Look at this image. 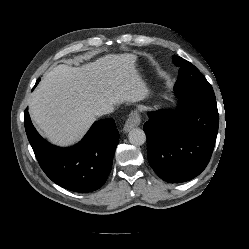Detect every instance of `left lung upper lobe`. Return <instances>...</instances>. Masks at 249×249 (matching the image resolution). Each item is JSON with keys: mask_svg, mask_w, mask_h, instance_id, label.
I'll return each mask as SVG.
<instances>
[{"mask_svg": "<svg viewBox=\"0 0 249 249\" xmlns=\"http://www.w3.org/2000/svg\"><path fill=\"white\" fill-rule=\"evenodd\" d=\"M172 60L179 67L178 79L174 86L176 92L181 96L203 94L215 97L212 86L193 64L176 55Z\"/></svg>", "mask_w": 249, "mask_h": 249, "instance_id": "5c2ea615", "label": "left lung upper lobe"}]
</instances>
